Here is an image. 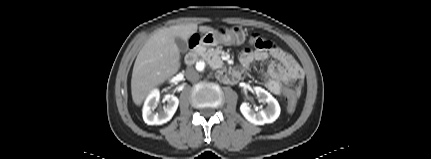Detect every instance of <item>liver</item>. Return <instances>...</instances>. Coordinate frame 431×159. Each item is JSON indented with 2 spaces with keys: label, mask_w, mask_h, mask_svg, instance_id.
<instances>
[{
  "label": "liver",
  "mask_w": 431,
  "mask_h": 159,
  "mask_svg": "<svg viewBox=\"0 0 431 159\" xmlns=\"http://www.w3.org/2000/svg\"><path fill=\"white\" fill-rule=\"evenodd\" d=\"M198 30L197 24L175 25L159 29L144 44L134 63L131 78L133 102L140 106L157 86L175 75L180 66V50L175 38L188 40ZM201 33L213 32L209 26H199Z\"/></svg>",
  "instance_id": "liver-1"
}]
</instances>
